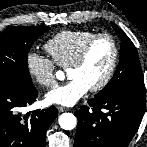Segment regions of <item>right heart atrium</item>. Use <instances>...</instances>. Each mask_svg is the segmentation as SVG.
Here are the masks:
<instances>
[{"mask_svg":"<svg viewBox=\"0 0 147 147\" xmlns=\"http://www.w3.org/2000/svg\"><path fill=\"white\" fill-rule=\"evenodd\" d=\"M25 67L30 78L42 87H51L56 82L54 61L36 51H29L25 57Z\"/></svg>","mask_w":147,"mask_h":147,"instance_id":"1","label":"right heart atrium"}]
</instances>
